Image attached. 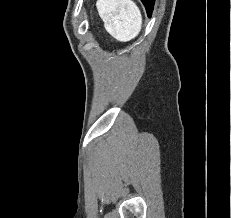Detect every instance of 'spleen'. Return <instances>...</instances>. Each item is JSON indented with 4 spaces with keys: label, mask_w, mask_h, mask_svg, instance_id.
Masks as SVG:
<instances>
[{
    "label": "spleen",
    "mask_w": 231,
    "mask_h": 218,
    "mask_svg": "<svg viewBox=\"0 0 231 218\" xmlns=\"http://www.w3.org/2000/svg\"><path fill=\"white\" fill-rule=\"evenodd\" d=\"M96 7L106 31L119 41L135 38L142 25L139 8L131 0H97Z\"/></svg>",
    "instance_id": "spleen-1"
}]
</instances>
